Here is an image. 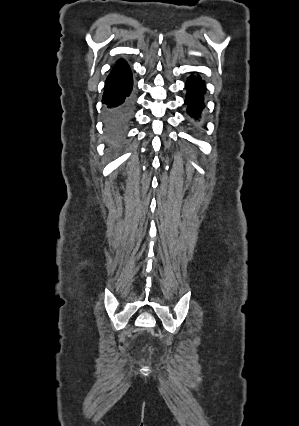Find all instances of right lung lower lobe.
<instances>
[{"label": "right lung lower lobe", "mask_w": 299, "mask_h": 426, "mask_svg": "<svg viewBox=\"0 0 299 426\" xmlns=\"http://www.w3.org/2000/svg\"><path fill=\"white\" fill-rule=\"evenodd\" d=\"M133 85L129 66L123 60L117 61L105 82L102 103L105 104L107 128L113 133L127 129L132 116L134 100Z\"/></svg>", "instance_id": "obj_1"}]
</instances>
